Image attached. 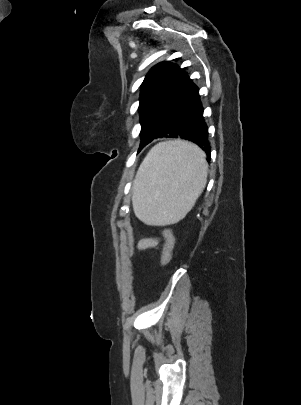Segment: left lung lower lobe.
Wrapping results in <instances>:
<instances>
[{
    "label": "left lung lower lobe",
    "instance_id": "1",
    "mask_svg": "<svg viewBox=\"0 0 301 405\" xmlns=\"http://www.w3.org/2000/svg\"><path fill=\"white\" fill-rule=\"evenodd\" d=\"M157 138H182L192 141L210 157L208 128L203 117L199 90L191 80L183 96L171 108L158 130L141 138L139 150Z\"/></svg>",
    "mask_w": 301,
    "mask_h": 405
}]
</instances>
